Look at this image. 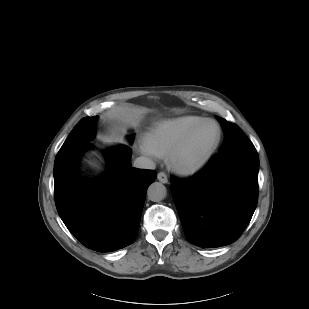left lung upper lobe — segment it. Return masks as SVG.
<instances>
[{"mask_svg":"<svg viewBox=\"0 0 309 309\" xmlns=\"http://www.w3.org/2000/svg\"><path fill=\"white\" fill-rule=\"evenodd\" d=\"M217 118L221 122L225 134L224 142L219 153L229 152L241 147L253 145L238 126L223 118Z\"/></svg>","mask_w":309,"mask_h":309,"instance_id":"left-lung-upper-lobe-1","label":"left lung upper lobe"}]
</instances>
